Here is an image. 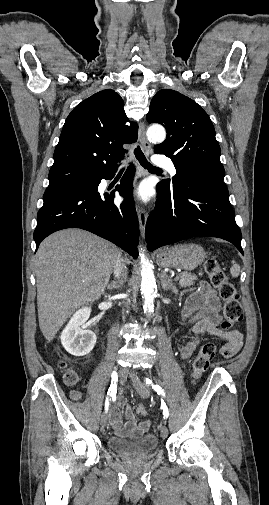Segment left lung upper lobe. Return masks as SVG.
<instances>
[{"label": "left lung upper lobe", "mask_w": 269, "mask_h": 505, "mask_svg": "<svg viewBox=\"0 0 269 505\" xmlns=\"http://www.w3.org/2000/svg\"><path fill=\"white\" fill-rule=\"evenodd\" d=\"M146 118L149 123L165 126L167 139L156 145L154 152L170 157L177 171L171 185L169 181L159 185L166 189L175 187L186 178L182 171L224 179L214 126L195 101L174 90H160L152 98Z\"/></svg>", "instance_id": "5c2ea615"}]
</instances>
